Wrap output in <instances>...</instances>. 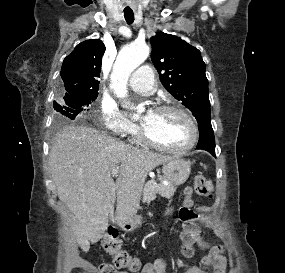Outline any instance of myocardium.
Instances as JSON below:
<instances>
[{
  "label": "myocardium",
  "mask_w": 285,
  "mask_h": 273,
  "mask_svg": "<svg viewBox=\"0 0 285 273\" xmlns=\"http://www.w3.org/2000/svg\"><path fill=\"white\" fill-rule=\"evenodd\" d=\"M155 111H159V112L174 111V112L181 114L189 123L190 132H191L190 139L185 145L181 147L168 146V145L159 143L156 140H154L152 137H150V135L147 133L144 127L140 126L139 127V137L143 143L153 148L163 150L166 152H170V153H175V154H184L192 150L196 146L198 139H199V126H198L196 119L194 118V116L191 114L189 110H187L186 108L178 104H163V105L158 106L155 109Z\"/></svg>",
  "instance_id": "1"
}]
</instances>
